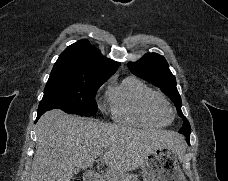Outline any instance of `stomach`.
Here are the masks:
<instances>
[{"label":"stomach","mask_w":228,"mask_h":181,"mask_svg":"<svg viewBox=\"0 0 228 181\" xmlns=\"http://www.w3.org/2000/svg\"><path fill=\"white\" fill-rule=\"evenodd\" d=\"M143 181H186L178 155L171 147L153 149L140 165Z\"/></svg>","instance_id":"obj_1"}]
</instances>
